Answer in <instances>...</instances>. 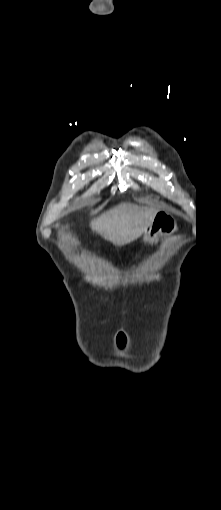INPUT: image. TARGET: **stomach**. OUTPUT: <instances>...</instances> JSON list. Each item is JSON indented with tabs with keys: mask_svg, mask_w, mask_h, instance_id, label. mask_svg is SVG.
Wrapping results in <instances>:
<instances>
[{
	"mask_svg": "<svg viewBox=\"0 0 221 510\" xmlns=\"http://www.w3.org/2000/svg\"><path fill=\"white\" fill-rule=\"evenodd\" d=\"M177 230V221L169 213L160 211L153 218L143 238L144 242H157L161 237L171 235Z\"/></svg>",
	"mask_w": 221,
	"mask_h": 510,
	"instance_id": "stomach-1",
	"label": "stomach"
}]
</instances>
